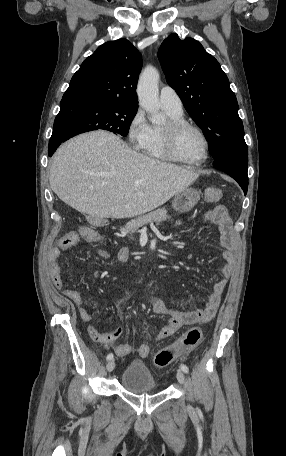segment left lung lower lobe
Segmentation results:
<instances>
[{
  "instance_id": "0a47b994",
  "label": "left lung lower lobe",
  "mask_w": 286,
  "mask_h": 456,
  "mask_svg": "<svg viewBox=\"0 0 286 456\" xmlns=\"http://www.w3.org/2000/svg\"><path fill=\"white\" fill-rule=\"evenodd\" d=\"M213 166L235 179L245 195L248 189V155L229 154L214 161Z\"/></svg>"
}]
</instances>
